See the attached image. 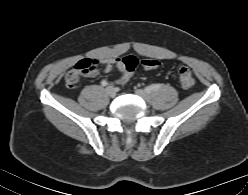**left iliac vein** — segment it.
Returning <instances> with one entry per match:
<instances>
[{
	"mask_svg": "<svg viewBox=\"0 0 248 195\" xmlns=\"http://www.w3.org/2000/svg\"><path fill=\"white\" fill-rule=\"evenodd\" d=\"M135 93L141 97L144 101L148 102L150 100V95L147 91L142 90V89H138L135 91Z\"/></svg>",
	"mask_w": 248,
	"mask_h": 195,
	"instance_id": "obj_1",
	"label": "left iliac vein"
}]
</instances>
